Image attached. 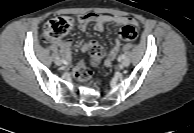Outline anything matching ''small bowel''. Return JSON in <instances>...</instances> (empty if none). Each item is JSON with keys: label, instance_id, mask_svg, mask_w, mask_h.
<instances>
[{"label": "small bowel", "instance_id": "obj_1", "mask_svg": "<svg viewBox=\"0 0 194 133\" xmlns=\"http://www.w3.org/2000/svg\"><path fill=\"white\" fill-rule=\"evenodd\" d=\"M79 26L82 30H85L88 24L94 23V28L98 32L104 31V28L107 24H113L115 26L125 27L132 26L136 30L138 28V23L135 19L123 16H110L105 14H96V13H86L83 15L77 16ZM97 42L91 41L85 43L81 46V51H88L93 44ZM55 44L60 48L63 56L69 60L71 54L72 41H56ZM121 49V41L119 39L115 40L113 47L110 49L107 59L105 61L106 65L109 66L111 62L116 58Z\"/></svg>", "mask_w": 194, "mask_h": 133}]
</instances>
